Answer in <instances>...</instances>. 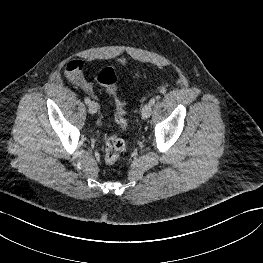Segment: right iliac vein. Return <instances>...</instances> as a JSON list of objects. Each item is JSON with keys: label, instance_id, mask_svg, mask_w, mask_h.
Here are the masks:
<instances>
[{"label": "right iliac vein", "instance_id": "right-iliac-vein-1", "mask_svg": "<svg viewBox=\"0 0 263 263\" xmlns=\"http://www.w3.org/2000/svg\"><path fill=\"white\" fill-rule=\"evenodd\" d=\"M98 110V104L94 101L90 102L89 103V106H88V111L91 113V114H95Z\"/></svg>", "mask_w": 263, "mask_h": 263}]
</instances>
